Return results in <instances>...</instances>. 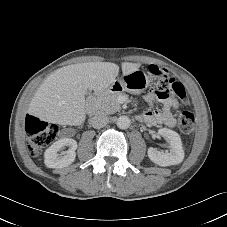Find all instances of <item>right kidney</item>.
Segmentation results:
<instances>
[{"mask_svg":"<svg viewBox=\"0 0 227 227\" xmlns=\"http://www.w3.org/2000/svg\"><path fill=\"white\" fill-rule=\"evenodd\" d=\"M65 146L69 149L58 153ZM77 142L72 138H62L54 142L44 153V163L48 168H63L72 164L76 157Z\"/></svg>","mask_w":227,"mask_h":227,"instance_id":"ca27d5eb","label":"right kidney"}]
</instances>
